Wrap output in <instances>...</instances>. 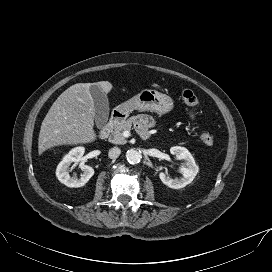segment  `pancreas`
Returning <instances> with one entry per match:
<instances>
[{
    "label": "pancreas",
    "mask_w": 272,
    "mask_h": 272,
    "mask_svg": "<svg viewBox=\"0 0 272 272\" xmlns=\"http://www.w3.org/2000/svg\"><path fill=\"white\" fill-rule=\"evenodd\" d=\"M139 116H132L120 125L116 126L110 135V141L114 144H126L127 140L123 136V132L130 131L133 125L137 124Z\"/></svg>",
    "instance_id": "cf45deb5"
}]
</instances>
